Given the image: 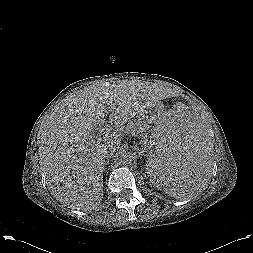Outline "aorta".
<instances>
[{
  "label": "aorta",
  "instance_id": "obj_1",
  "mask_svg": "<svg viewBox=\"0 0 253 253\" xmlns=\"http://www.w3.org/2000/svg\"><path fill=\"white\" fill-rule=\"evenodd\" d=\"M118 157H119V161L122 164H128L134 160V153L127 150H122L119 152Z\"/></svg>",
  "mask_w": 253,
  "mask_h": 253
}]
</instances>
